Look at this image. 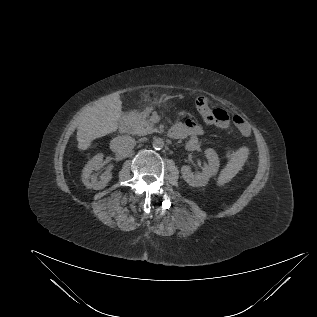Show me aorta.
Wrapping results in <instances>:
<instances>
[{
    "label": "aorta",
    "instance_id": "1",
    "mask_svg": "<svg viewBox=\"0 0 317 317\" xmlns=\"http://www.w3.org/2000/svg\"><path fill=\"white\" fill-rule=\"evenodd\" d=\"M152 146L156 150H160L164 147V140L162 138H155L152 142Z\"/></svg>",
    "mask_w": 317,
    "mask_h": 317
}]
</instances>
